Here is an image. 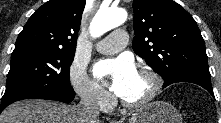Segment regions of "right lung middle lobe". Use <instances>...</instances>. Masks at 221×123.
Here are the masks:
<instances>
[{"instance_id": "1", "label": "right lung middle lobe", "mask_w": 221, "mask_h": 123, "mask_svg": "<svg viewBox=\"0 0 221 123\" xmlns=\"http://www.w3.org/2000/svg\"><path fill=\"white\" fill-rule=\"evenodd\" d=\"M74 54L45 49L13 51L5 94L18 90L36 94L54 86L71 87L69 71Z\"/></svg>"}]
</instances>
